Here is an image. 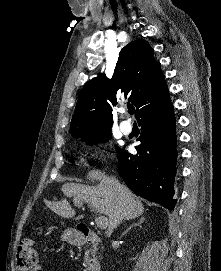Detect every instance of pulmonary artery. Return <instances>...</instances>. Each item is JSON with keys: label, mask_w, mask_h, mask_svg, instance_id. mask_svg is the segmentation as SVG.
I'll return each mask as SVG.
<instances>
[{"label": "pulmonary artery", "mask_w": 221, "mask_h": 271, "mask_svg": "<svg viewBox=\"0 0 221 271\" xmlns=\"http://www.w3.org/2000/svg\"><path fill=\"white\" fill-rule=\"evenodd\" d=\"M123 119H126L125 117H122ZM119 126H121L122 132L127 135L131 132V127L130 126H124L126 123L124 121H119Z\"/></svg>", "instance_id": "pulmonary-artery-1"}]
</instances>
